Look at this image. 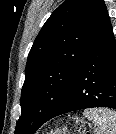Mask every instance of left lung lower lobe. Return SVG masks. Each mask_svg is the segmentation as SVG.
I'll list each match as a JSON object with an SVG mask.
<instances>
[{"mask_svg": "<svg viewBox=\"0 0 116 134\" xmlns=\"http://www.w3.org/2000/svg\"><path fill=\"white\" fill-rule=\"evenodd\" d=\"M57 106L49 120L86 108L116 109V40L109 19L73 80L71 97Z\"/></svg>", "mask_w": 116, "mask_h": 134, "instance_id": "left-lung-lower-lobe-1", "label": "left lung lower lobe"}]
</instances>
